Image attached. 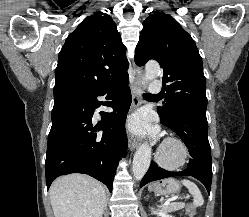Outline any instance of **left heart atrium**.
Returning <instances> with one entry per match:
<instances>
[{
	"mask_svg": "<svg viewBox=\"0 0 249 217\" xmlns=\"http://www.w3.org/2000/svg\"><path fill=\"white\" fill-rule=\"evenodd\" d=\"M131 128L137 133H144L148 129L147 119L143 115H136L130 121Z\"/></svg>",
	"mask_w": 249,
	"mask_h": 217,
	"instance_id": "39dd6f15",
	"label": "left heart atrium"
}]
</instances>
